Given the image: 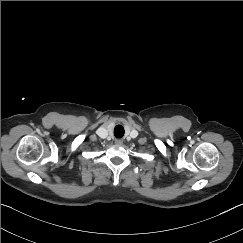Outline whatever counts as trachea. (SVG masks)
Masks as SVG:
<instances>
[{
  "instance_id": "1",
  "label": "trachea",
  "mask_w": 243,
  "mask_h": 243,
  "mask_svg": "<svg viewBox=\"0 0 243 243\" xmlns=\"http://www.w3.org/2000/svg\"><path fill=\"white\" fill-rule=\"evenodd\" d=\"M114 135L116 138H121L124 135V128L121 125H117L114 129Z\"/></svg>"
}]
</instances>
